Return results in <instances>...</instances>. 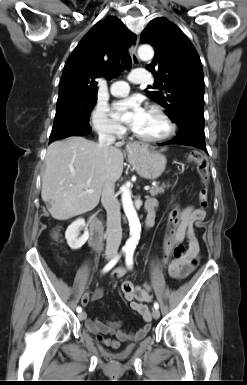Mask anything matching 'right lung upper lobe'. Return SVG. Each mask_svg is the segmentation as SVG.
I'll return each mask as SVG.
<instances>
[{
	"instance_id": "cb5924a9",
	"label": "right lung upper lobe",
	"mask_w": 247,
	"mask_h": 385,
	"mask_svg": "<svg viewBox=\"0 0 247 385\" xmlns=\"http://www.w3.org/2000/svg\"><path fill=\"white\" fill-rule=\"evenodd\" d=\"M136 35L113 16L96 23L82 38L66 61L59 94L81 92L97 94L95 78L111 79L119 71L120 54Z\"/></svg>"
}]
</instances>
